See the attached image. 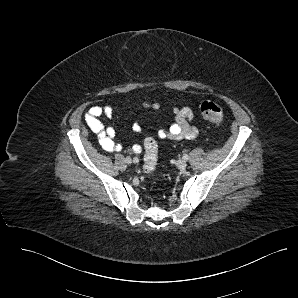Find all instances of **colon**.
<instances>
[{"mask_svg":"<svg viewBox=\"0 0 298 298\" xmlns=\"http://www.w3.org/2000/svg\"><path fill=\"white\" fill-rule=\"evenodd\" d=\"M203 118L212 123L219 124L224 119V110L221 105L212 101H205L201 104ZM158 163V146L155 139L148 137L144 141L143 167L146 171H152Z\"/></svg>","mask_w":298,"mask_h":298,"instance_id":"colon-1","label":"colon"}]
</instances>
